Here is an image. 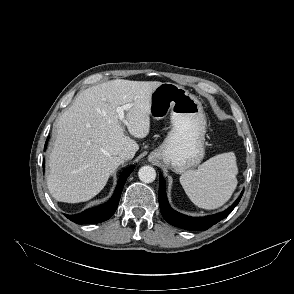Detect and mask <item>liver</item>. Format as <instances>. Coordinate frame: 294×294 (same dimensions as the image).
<instances>
[{
    "label": "liver",
    "mask_w": 294,
    "mask_h": 294,
    "mask_svg": "<svg viewBox=\"0 0 294 294\" xmlns=\"http://www.w3.org/2000/svg\"><path fill=\"white\" fill-rule=\"evenodd\" d=\"M161 82L117 79L87 88L56 120V138L49 155L47 186L54 199L67 203L88 201L106 185L139 145L124 132L117 107L126 110L129 133L145 138L150 131V96Z\"/></svg>",
    "instance_id": "liver-1"
}]
</instances>
